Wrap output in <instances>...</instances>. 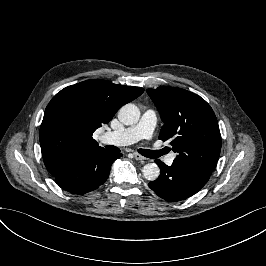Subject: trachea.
Segmentation results:
<instances>
[{
  "instance_id": "trachea-1",
  "label": "trachea",
  "mask_w": 266,
  "mask_h": 266,
  "mask_svg": "<svg viewBox=\"0 0 266 266\" xmlns=\"http://www.w3.org/2000/svg\"><path fill=\"white\" fill-rule=\"evenodd\" d=\"M139 153L142 154L145 157L151 158V159H155L158 158L160 156H162L165 152L164 150L161 151H152L149 149H140Z\"/></svg>"
}]
</instances>
